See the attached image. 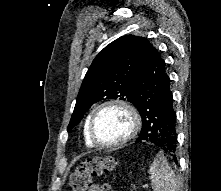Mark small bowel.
Returning a JSON list of instances; mask_svg holds the SVG:
<instances>
[{
    "label": "small bowel",
    "instance_id": "obj_1",
    "mask_svg": "<svg viewBox=\"0 0 221 191\" xmlns=\"http://www.w3.org/2000/svg\"><path fill=\"white\" fill-rule=\"evenodd\" d=\"M89 191H101V185H99V184H93V185H91V187L89 188Z\"/></svg>",
    "mask_w": 221,
    "mask_h": 191
}]
</instances>
